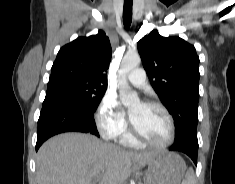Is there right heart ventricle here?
Segmentation results:
<instances>
[{
    "label": "right heart ventricle",
    "instance_id": "right-heart-ventricle-1",
    "mask_svg": "<svg viewBox=\"0 0 235 184\" xmlns=\"http://www.w3.org/2000/svg\"><path fill=\"white\" fill-rule=\"evenodd\" d=\"M120 143L124 146L127 147H139L140 144L134 140V138L132 137L131 133L128 131H125L120 137H119Z\"/></svg>",
    "mask_w": 235,
    "mask_h": 184
}]
</instances>
